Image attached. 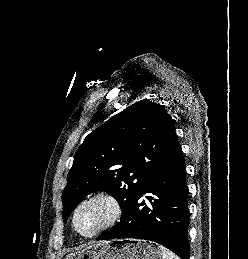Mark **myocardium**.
Instances as JSON below:
<instances>
[{"label":"myocardium","mask_w":248,"mask_h":259,"mask_svg":"<svg viewBox=\"0 0 248 259\" xmlns=\"http://www.w3.org/2000/svg\"><path fill=\"white\" fill-rule=\"evenodd\" d=\"M97 200L105 201L110 205L111 210H112L111 216L106 221V223L103 224L101 227H99L97 230H95L91 233H88V234H84L78 230V227L76 224L77 215H78L79 211L81 210V208L84 207L86 204L97 201ZM121 215H122L121 203L113 194L108 193V192H97V193H94V194L84 198L76 206V208L73 212V215H72V225H73L75 232L78 235H80L81 237L92 238V237H95V236L99 235L100 233L104 232L105 230L109 229L110 227H112L119 220Z\"/></svg>","instance_id":"1"}]
</instances>
